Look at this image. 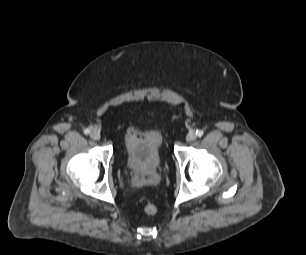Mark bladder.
Returning a JSON list of instances; mask_svg holds the SVG:
<instances>
[{
  "label": "bladder",
  "instance_id": "1",
  "mask_svg": "<svg viewBox=\"0 0 306 255\" xmlns=\"http://www.w3.org/2000/svg\"><path fill=\"white\" fill-rule=\"evenodd\" d=\"M140 133L138 137L126 134L124 151L127 165L132 171L148 174L161 163L163 135L157 129L140 130Z\"/></svg>",
  "mask_w": 306,
  "mask_h": 255
}]
</instances>
